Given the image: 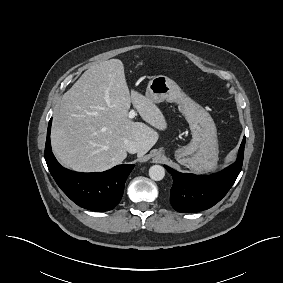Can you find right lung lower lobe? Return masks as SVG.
I'll return each instance as SVG.
<instances>
[{
    "label": "right lung lower lobe",
    "mask_w": 283,
    "mask_h": 283,
    "mask_svg": "<svg viewBox=\"0 0 283 283\" xmlns=\"http://www.w3.org/2000/svg\"><path fill=\"white\" fill-rule=\"evenodd\" d=\"M50 119L45 145V160L61 190L77 205L92 211H109L121 200L125 181L135 165H118L97 173H78L63 168L55 159L50 144Z\"/></svg>",
    "instance_id": "98d812e1"
}]
</instances>
